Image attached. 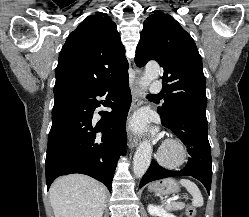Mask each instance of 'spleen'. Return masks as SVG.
Instances as JSON below:
<instances>
[{
  "label": "spleen",
  "mask_w": 249,
  "mask_h": 217,
  "mask_svg": "<svg viewBox=\"0 0 249 217\" xmlns=\"http://www.w3.org/2000/svg\"><path fill=\"white\" fill-rule=\"evenodd\" d=\"M180 183L192 195V197H193L192 205L195 207L203 206L204 200H203L202 194H201L199 188L197 187V185L188 179H181Z\"/></svg>",
  "instance_id": "spleen-1"
}]
</instances>
